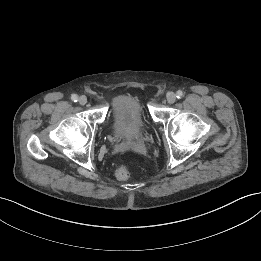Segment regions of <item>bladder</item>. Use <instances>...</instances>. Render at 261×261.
I'll use <instances>...</instances> for the list:
<instances>
[{
    "mask_svg": "<svg viewBox=\"0 0 261 261\" xmlns=\"http://www.w3.org/2000/svg\"><path fill=\"white\" fill-rule=\"evenodd\" d=\"M111 128L122 140H135L146 130V119L140 99L132 94H121L111 104Z\"/></svg>",
    "mask_w": 261,
    "mask_h": 261,
    "instance_id": "bladder-1",
    "label": "bladder"
}]
</instances>
